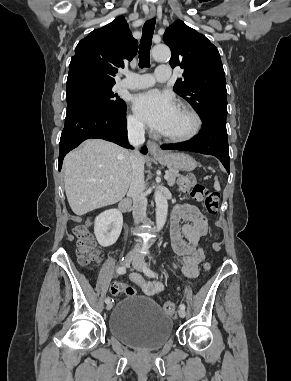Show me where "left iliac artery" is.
<instances>
[{
	"instance_id": "44dca946",
	"label": "left iliac artery",
	"mask_w": 291,
	"mask_h": 381,
	"mask_svg": "<svg viewBox=\"0 0 291 381\" xmlns=\"http://www.w3.org/2000/svg\"><path fill=\"white\" fill-rule=\"evenodd\" d=\"M144 273L149 277H157L158 276L156 272H154L153 270H151L150 268H147V267L144 269ZM179 307H180V309L185 310V305L183 303H181L179 305Z\"/></svg>"
}]
</instances>
